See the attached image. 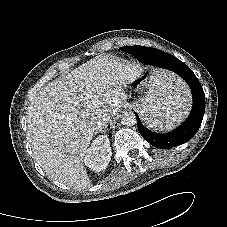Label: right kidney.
I'll list each match as a JSON object with an SVG mask.
<instances>
[{
  "instance_id": "ca27d5eb",
  "label": "right kidney",
  "mask_w": 227,
  "mask_h": 227,
  "mask_svg": "<svg viewBox=\"0 0 227 227\" xmlns=\"http://www.w3.org/2000/svg\"><path fill=\"white\" fill-rule=\"evenodd\" d=\"M112 152L107 135H100L93 140L87 149L84 163L95 172L105 170L111 160Z\"/></svg>"
}]
</instances>
